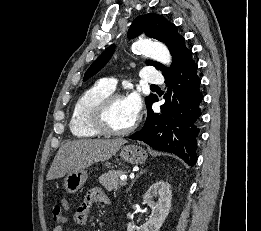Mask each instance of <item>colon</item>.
I'll list each match as a JSON object with an SVG mask.
<instances>
[{
  "mask_svg": "<svg viewBox=\"0 0 261 231\" xmlns=\"http://www.w3.org/2000/svg\"><path fill=\"white\" fill-rule=\"evenodd\" d=\"M63 208H64V209H67V208H68V205H67V204H64V205H63Z\"/></svg>",
  "mask_w": 261,
  "mask_h": 231,
  "instance_id": "5ec220e1",
  "label": "colon"
}]
</instances>
